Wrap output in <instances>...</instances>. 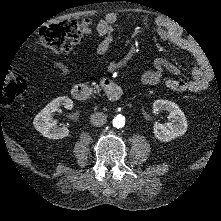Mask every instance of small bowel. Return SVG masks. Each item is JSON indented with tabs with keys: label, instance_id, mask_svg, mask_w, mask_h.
I'll return each instance as SVG.
<instances>
[{
	"label": "small bowel",
	"instance_id": "c3829d8e",
	"mask_svg": "<svg viewBox=\"0 0 221 221\" xmlns=\"http://www.w3.org/2000/svg\"><path fill=\"white\" fill-rule=\"evenodd\" d=\"M116 22L117 15L115 13H109L105 20L98 23L97 31L101 36H103L102 40L96 47V53L98 55H105L113 44ZM157 23L158 25H164L162 19H158ZM161 37L163 39L168 38L172 43L183 50H192V43L189 40L174 34L172 31H169L168 33L161 32ZM129 58L130 54L122 60L111 62L107 67L108 71L111 73L117 71L127 62ZM164 72L178 74L180 70L176 64L163 58H156L153 61V69L144 72L141 77V81L147 85L157 84L162 78ZM190 75L192 77V80L190 81L183 79H167L165 80L164 85L169 90L177 92L189 91L193 93H200L207 88L210 75L204 68L198 65H192L190 67Z\"/></svg>",
	"mask_w": 221,
	"mask_h": 221
}]
</instances>
